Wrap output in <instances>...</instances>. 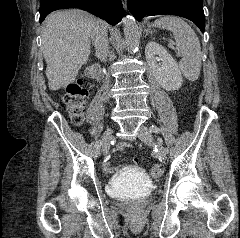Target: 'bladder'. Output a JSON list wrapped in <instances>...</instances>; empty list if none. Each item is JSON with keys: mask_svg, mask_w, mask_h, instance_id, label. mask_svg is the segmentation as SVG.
<instances>
[{"mask_svg": "<svg viewBox=\"0 0 240 238\" xmlns=\"http://www.w3.org/2000/svg\"><path fill=\"white\" fill-rule=\"evenodd\" d=\"M153 188L151 180L136 167L124 168L110 182L109 193L112 197H143Z\"/></svg>", "mask_w": 240, "mask_h": 238, "instance_id": "obj_1", "label": "bladder"}]
</instances>
